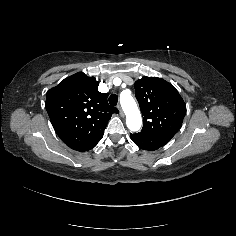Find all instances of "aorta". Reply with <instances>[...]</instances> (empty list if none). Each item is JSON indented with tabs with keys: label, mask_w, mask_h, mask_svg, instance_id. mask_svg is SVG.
<instances>
[{
	"label": "aorta",
	"mask_w": 236,
	"mask_h": 236,
	"mask_svg": "<svg viewBox=\"0 0 236 236\" xmlns=\"http://www.w3.org/2000/svg\"><path fill=\"white\" fill-rule=\"evenodd\" d=\"M120 104L126 115V124L131 131H138L142 125V118L137 104L131 94L121 93Z\"/></svg>",
	"instance_id": "aorta-1"
}]
</instances>
